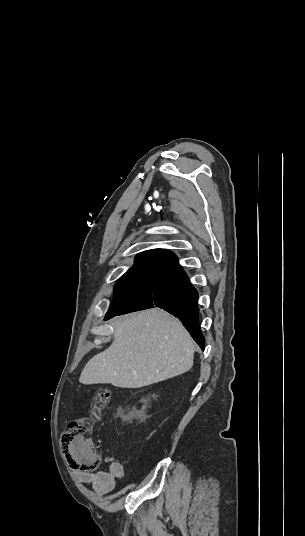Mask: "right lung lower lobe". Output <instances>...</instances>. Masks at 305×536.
<instances>
[{"mask_svg": "<svg viewBox=\"0 0 305 536\" xmlns=\"http://www.w3.org/2000/svg\"><path fill=\"white\" fill-rule=\"evenodd\" d=\"M197 299L198 293L196 289L191 285L186 273L181 271L173 276L164 278L130 306L118 313L107 315L105 320L116 315L157 306L176 316L201 349L204 350L205 338L199 326Z\"/></svg>", "mask_w": 305, "mask_h": 536, "instance_id": "obj_1", "label": "right lung lower lobe"}]
</instances>
